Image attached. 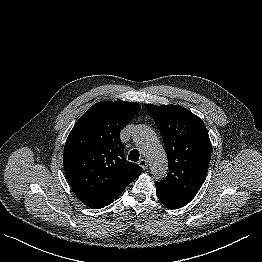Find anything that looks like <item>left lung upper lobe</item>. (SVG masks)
<instances>
[{
    "label": "left lung upper lobe",
    "instance_id": "5c2ea615",
    "mask_svg": "<svg viewBox=\"0 0 262 262\" xmlns=\"http://www.w3.org/2000/svg\"><path fill=\"white\" fill-rule=\"evenodd\" d=\"M157 124L169 160L167 177L155 182L156 191L189 203L206 178L211 142L203 121L179 105L147 104Z\"/></svg>",
    "mask_w": 262,
    "mask_h": 262
}]
</instances>
